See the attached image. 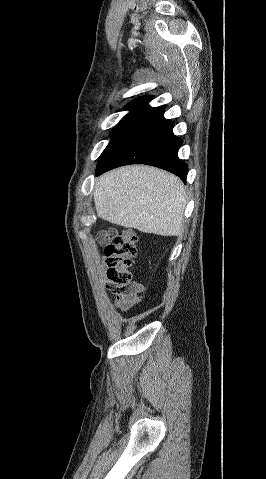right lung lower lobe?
Masks as SVG:
<instances>
[{
  "instance_id": "obj_1",
  "label": "right lung lower lobe",
  "mask_w": 266,
  "mask_h": 479,
  "mask_svg": "<svg viewBox=\"0 0 266 479\" xmlns=\"http://www.w3.org/2000/svg\"><path fill=\"white\" fill-rule=\"evenodd\" d=\"M163 113L162 108L148 107L130 120L101 154L96 175L123 165L148 164L185 183L188 167L177 155L183 140L173 134L174 123Z\"/></svg>"
}]
</instances>
